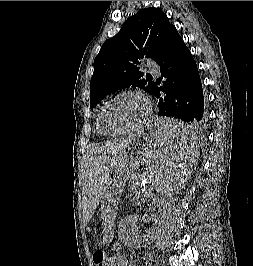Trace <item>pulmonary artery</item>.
I'll use <instances>...</instances> for the list:
<instances>
[{"label":"pulmonary artery","instance_id":"1","mask_svg":"<svg viewBox=\"0 0 253 266\" xmlns=\"http://www.w3.org/2000/svg\"><path fill=\"white\" fill-rule=\"evenodd\" d=\"M148 71L152 72V73H159V68L157 66H155V65H150L148 67Z\"/></svg>","mask_w":253,"mask_h":266}]
</instances>
